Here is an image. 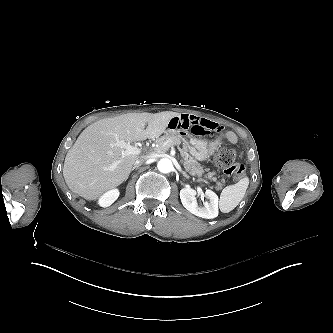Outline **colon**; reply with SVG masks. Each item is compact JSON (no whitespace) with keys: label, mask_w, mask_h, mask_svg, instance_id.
Here are the masks:
<instances>
[{"label":"colon","mask_w":333,"mask_h":333,"mask_svg":"<svg viewBox=\"0 0 333 333\" xmlns=\"http://www.w3.org/2000/svg\"><path fill=\"white\" fill-rule=\"evenodd\" d=\"M214 163L222 170L225 176L241 177L245 170V163L236 162V150L228 147L218 151Z\"/></svg>","instance_id":"5ec220e1"}]
</instances>
